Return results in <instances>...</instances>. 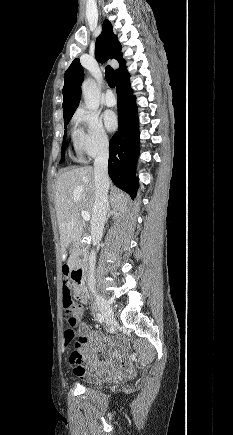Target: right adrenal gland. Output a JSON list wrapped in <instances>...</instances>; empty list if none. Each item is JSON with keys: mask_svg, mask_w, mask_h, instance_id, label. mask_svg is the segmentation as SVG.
I'll list each match as a JSON object with an SVG mask.
<instances>
[{"mask_svg": "<svg viewBox=\"0 0 233 435\" xmlns=\"http://www.w3.org/2000/svg\"><path fill=\"white\" fill-rule=\"evenodd\" d=\"M119 212L115 211V210H110L106 219V223L108 222L109 218L112 217L113 219L117 218L119 216Z\"/></svg>", "mask_w": 233, "mask_h": 435, "instance_id": "2a0ac1e0", "label": "right adrenal gland"}]
</instances>
